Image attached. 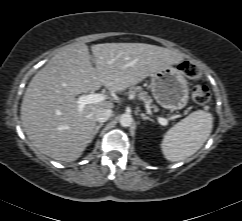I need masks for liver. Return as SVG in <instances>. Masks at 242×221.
<instances>
[{"instance_id": "1", "label": "liver", "mask_w": 242, "mask_h": 221, "mask_svg": "<svg viewBox=\"0 0 242 221\" xmlns=\"http://www.w3.org/2000/svg\"><path fill=\"white\" fill-rule=\"evenodd\" d=\"M73 43L62 48L35 74L21 104V120L32 145L57 161L77 160L94 138L95 111L111 109V101L78 110L76 96L101 86L121 92L165 67L179 64L183 55L145 43Z\"/></svg>"}]
</instances>
